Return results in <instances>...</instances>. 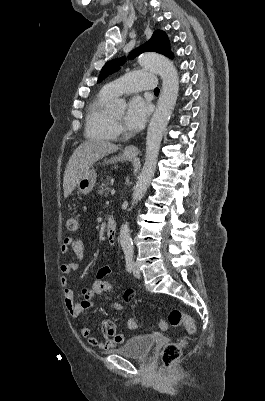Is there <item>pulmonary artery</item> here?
Masks as SVG:
<instances>
[{
	"mask_svg": "<svg viewBox=\"0 0 265 401\" xmlns=\"http://www.w3.org/2000/svg\"><path fill=\"white\" fill-rule=\"evenodd\" d=\"M107 91L113 96L139 95L141 90H154V76L151 72H126L120 75L118 81L106 86Z\"/></svg>",
	"mask_w": 265,
	"mask_h": 401,
	"instance_id": "e3ab8cb5",
	"label": "pulmonary artery"
}]
</instances>
